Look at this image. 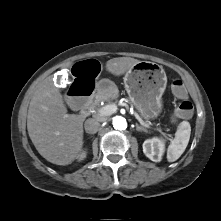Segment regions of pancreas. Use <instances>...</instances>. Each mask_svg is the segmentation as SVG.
<instances>
[{
	"label": "pancreas",
	"mask_w": 221,
	"mask_h": 221,
	"mask_svg": "<svg viewBox=\"0 0 221 221\" xmlns=\"http://www.w3.org/2000/svg\"><path fill=\"white\" fill-rule=\"evenodd\" d=\"M90 108L91 109H95L96 108V103H92L91 105H90ZM147 126H149L151 123L150 122H146L145 123Z\"/></svg>",
	"instance_id": "obj_1"
}]
</instances>
